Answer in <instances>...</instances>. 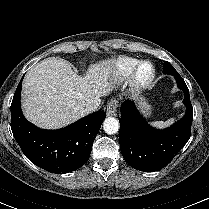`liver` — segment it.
<instances>
[{"instance_id": "1", "label": "liver", "mask_w": 209, "mask_h": 209, "mask_svg": "<svg viewBox=\"0 0 209 209\" xmlns=\"http://www.w3.org/2000/svg\"><path fill=\"white\" fill-rule=\"evenodd\" d=\"M113 61L90 65L82 77L64 59L50 57L32 67L22 85V109L27 120L40 128L67 126L86 114L82 108L98 105L112 91Z\"/></svg>"}]
</instances>
